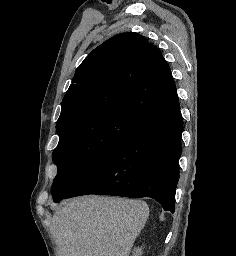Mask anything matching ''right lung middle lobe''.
Listing matches in <instances>:
<instances>
[{"label":"right lung middle lobe","mask_w":236,"mask_h":256,"mask_svg":"<svg viewBox=\"0 0 236 256\" xmlns=\"http://www.w3.org/2000/svg\"><path fill=\"white\" fill-rule=\"evenodd\" d=\"M142 122L127 111H116L72 124L57 132L59 143L52 154L58 167L53 181L54 201L65 198Z\"/></svg>","instance_id":"dd1d6c3e"}]
</instances>
